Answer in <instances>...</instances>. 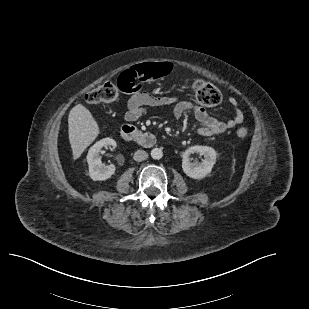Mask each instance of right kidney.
I'll list each match as a JSON object with an SVG mask.
<instances>
[{"label": "right kidney", "mask_w": 309, "mask_h": 309, "mask_svg": "<svg viewBox=\"0 0 309 309\" xmlns=\"http://www.w3.org/2000/svg\"><path fill=\"white\" fill-rule=\"evenodd\" d=\"M116 147V142L112 138H104L96 142L88 151L87 162L89 165V176L93 181H104L115 173L113 164L105 166L101 162L100 151L103 147Z\"/></svg>", "instance_id": "right-kidney-1"}]
</instances>
